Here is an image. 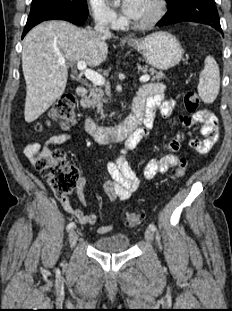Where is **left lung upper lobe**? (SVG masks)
I'll list each match as a JSON object with an SVG mask.
<instances>
[{"label": "left lung upper lobe", "mask_w": 232, "mask_h": 311, "mask_svg": "<svg viewBox=\"0 0 232 311\" xmlns=\"http://www.w3.org/2000/svg\"><path fill=\"white\" fill-rule=\"evenodd\" d=\"M167 1V3H170L172 0H166Z\"/></svg>", "instance_id": "obj_1"}]
</instances>
